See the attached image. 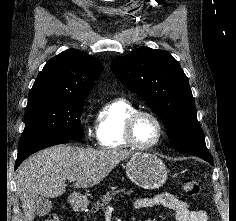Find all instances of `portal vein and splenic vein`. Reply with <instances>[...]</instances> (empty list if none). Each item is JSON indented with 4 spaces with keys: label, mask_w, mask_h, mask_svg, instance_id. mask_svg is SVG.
<instances>
[{
    "label": "portal vein and splenic vein",
    "mask_w": 236,
    "mask_h": 221,
    "mask_svg": "<svg viewBox=\"0 0 236 221\" xmlns=\"http://www.w3.org/2000/svg\"><path fill=\"white\" fill-rule=\"evenodd\" d=\"M75 180H76V178H74V177L69 178V181H70V182H73V181H75Z\"/></svg>",
    "instance_id": "obj_1"
}]
</instances>
